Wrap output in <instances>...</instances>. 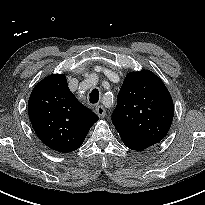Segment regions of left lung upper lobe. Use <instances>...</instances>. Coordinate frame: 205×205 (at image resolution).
Returning <instances> with one entry per match:
<instances>
[{
    "instance_id": "5c2ea615",
    "label": "left lung upper lobe",
    "mask_w": 205,
    "mask_h": 205,
    "mask_svg": "<svg viewBox=\"0 0 205 205\" xmlns=\"http://www.w3.org/2000/svg\"><path fill=\"white\" fill-rule=\"evenodd\" d=\"M112 122L118 132L149 146L170 129L174 105L162 80L149 70L129 73L118 93Z\"/></svg>"
}]
</instances>
